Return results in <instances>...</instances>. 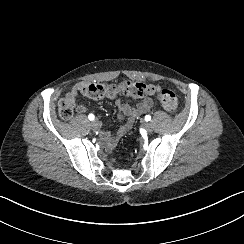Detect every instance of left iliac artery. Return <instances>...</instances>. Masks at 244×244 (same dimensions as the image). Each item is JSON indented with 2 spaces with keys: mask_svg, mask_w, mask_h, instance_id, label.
<instances>
[{
  "mask_svg": "<svg viewBox=\"0 0 244 244\" xmlns=\"http://www.w3.org/2000/svg\"><path fill=\"white\" fill-rule=\"evenodd\" d=\"M145 120H146V121H150V120H151V116H150V115H146V116H145Z\"/></svg>",
  "mask_w": 244,
  "mask_h": 244,
  "instance_id": "44dca946",
  "label": "left iliac artery"
}]
</instances>
